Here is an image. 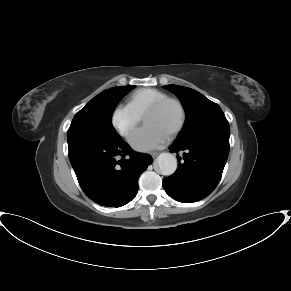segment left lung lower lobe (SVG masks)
Listing matches in <instances>:
<instances>
[{
	"mask_svg": "<svg viewBox=\"0 0 291 291\" xmlns=\"http://www.w3.org/2000/svg\"><path fill=\"white\" fill-rule=\"evenodd\" d=\"M229 128L208 131L189 140L174 141L170 152L184 151L178 169L163 179V188L173 199L192 203L208 196L217 186L228 154Z\"/></svg>",
	"mask_w": 291,
	"mask_h": 291,
	"instance_id": "obj_1",
	"label": "left lung lower lobe"
}]
</instances>
